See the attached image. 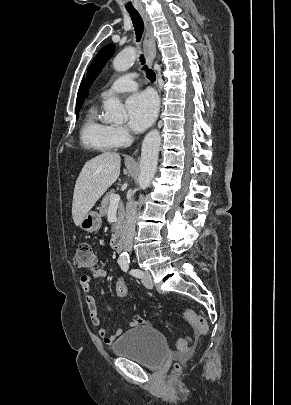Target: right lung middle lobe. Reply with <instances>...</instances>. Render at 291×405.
<instances>
[{"instance_id": "right-lung-middle-lobe-1", "label": "right lung middle lobe", "mask_w": 291, "mask_h": 405, "mask_svg": "<svg viewBox=\"0 0 291 405\" xmlns=\"http://www.w3.org/2000/svg\"><path fill=\"white\" fill-rule=\"evenodd\" d=\"M80 108H76V116L78 117V111Z\"/></svg>"}]
</instances>
